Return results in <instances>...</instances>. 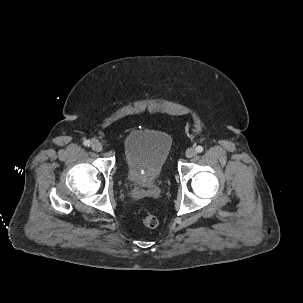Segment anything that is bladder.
<instances>
[{"mask_svg":"<svg viewBox=\"0 0 303 303\" xmlns=\"http://www.w3.org/2000/svg\"><path fill=\"white\" fill-rule=\"evenodd\" d=\"M172 148V137L161 130L136 128L125 137L123 145L130 182L148 186L161 175Z\"/></svg>","mask_w":303,"mask_h":303,"instance_id":"1","label":"bladder"}]
</instances>
